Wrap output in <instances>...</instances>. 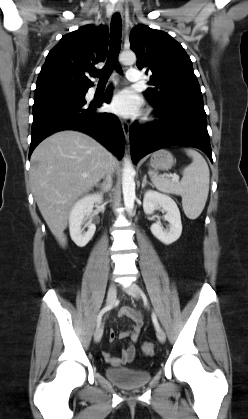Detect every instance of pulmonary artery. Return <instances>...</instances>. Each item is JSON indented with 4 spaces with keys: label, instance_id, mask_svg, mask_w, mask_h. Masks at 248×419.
I'll return each mask as SVG.
<instances>
[{
    "label": "pulmonary artery",
    "instance_id": "pulmonary-artery-1",
    "mask_svg": "<svg viewBox=\"0 0 248 419\" xmlns=\"http://www.w3.org/2000/svg\"><path fill=\"white\" fill-rule=\"evenodd\" d=\"M126 78L130 82H139L141 80V75H140V72H139L138 68L130 67L127 70Z\"/></svg>",
    "mask_w": 248,
    "mask_h": 419
}]
</instances>
